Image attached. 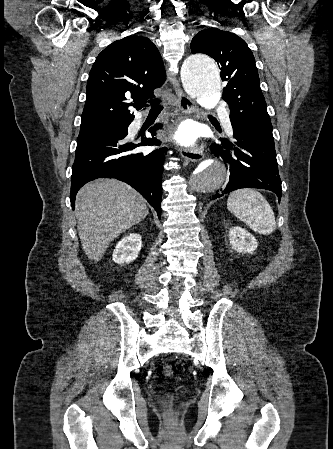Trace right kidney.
<instances>
[{"mask_svg": "<svg viewBox=\"0 0 333 449\" xmlns=\"http://www.w3.org/2000/svg\"><path fill=\"white\" fill-rule=\"evenodd\" d=\"M142 237L135 233L121 239L113 251V261L124 264L134 261L141 250Z\"/></svg>", "mask_w": 333, "mask_h": 449, "instance_id": "obj_1", "label": "right kidney"}]
</instances>
